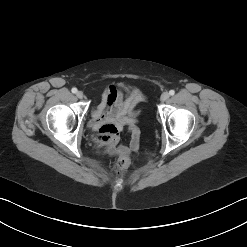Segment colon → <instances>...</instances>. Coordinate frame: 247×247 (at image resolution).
I'll return each instance as SVG.
<instances>
[{"label":"colon","mask_w":247,"mask_h":247,"mask_svg":"<svg viewBox=\"0 0 247 247\" xmlns=\"http://www.w3.org/2000/svg\"><path fill=\"white\" fill-rule=\"evenodd\" d=\"M129 158L127 156H120L114 164V171L117 174H123L129 166Z\"/></svg>","instance_id":"1"}]
</instances>
